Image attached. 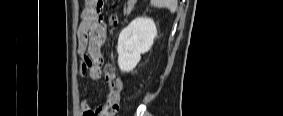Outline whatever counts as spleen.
Instances as JSON below:
<instances>
[{
  "mask_svg": "<svg viewBox=\"0 0 283 116\" xmlns=\"http://www.w3.org/2000/svg\"><path fill=\"white\" fill-rule=\"evenodd\" d=\"M151 5L158 8H167L171 13L177 9L176 0H151Z\"/></svg>",
  "mask_w": 283,
  "mask_h": 116,
  "instance_id": "1",
  "label": "spleen"
}]
</instances>
